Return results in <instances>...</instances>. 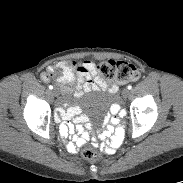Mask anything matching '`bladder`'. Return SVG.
I'll use <instances>...</instances> for the list:
<instances>
[{"mask_svg":"<svg viewBox=\"0 0 183 183\" xmlns=\"http://www.w3.org/2000/svg\"><path fill=\"white\" fill-rule=\"evenodd\" d=\"M112 100L113 98L108 92L98 88L83 97V106L89 114L101 115L109 109Z\"/></svg>","mask_w":183,"mask_h":183,"instance_id":"1","label":"bladder"}]
</instances>
